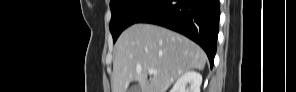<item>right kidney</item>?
Returning a JSON list of instances; mask_svg holds the SVG:
<instances>
[{
  "instance_id": "1",
  "label": "right kidney",
  "mask_w": 296,
  "mask_h": 92,
  "mask_svg": "<svg viewBox=\"0 0 296 92\" xmlns=\"http://www.w3.org/2000/svg\"><path fill=\"white\" fill-rule=\"evenodd\" d=\"M202 75L195 71H188L181 75L170 92H200ZM188 86V89L186 87Z\"/></svg>"
}]
</instances>
